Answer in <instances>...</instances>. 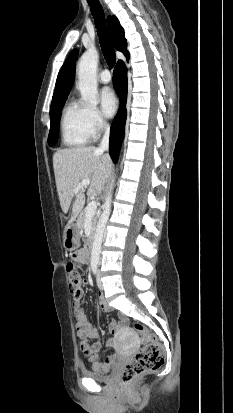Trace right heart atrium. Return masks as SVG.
<instances>
[{"label": "right heart atrium", "mask_w": 233, "mask_h": 413, "mask_svg": "<svg viewBox=\"0 0 233 413\" xmlns=\"http://www.w3.org/2000/svg\"><path fill=\"white\" fill-rule=\"evenodd\" d=\"M87 121L93 135L99 134L107 126L104 117L95 107H87Z\"/></svg>", "instance_id": "d8ad5b80"}]
</instances>
